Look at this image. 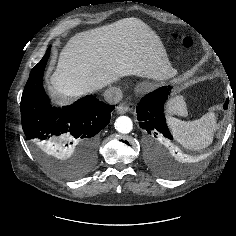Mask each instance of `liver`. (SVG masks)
I'll return each mask as SVG.
<instances>
[{
  "label": "liver",
  "instance_id": "obj_1",
  "mask_svg": "<svg viewBox=\"0 0 236 236\" xmlns=\"http://www.w3.org/2000/svg\"><path fill=\"white\" fill-rule=\"evenodd\" d=\"M160 37L137 18H125L71 37L50 78L53 89L76 98L129 75L164 80L175 75ZM182 98L169 102L168 112L182 113Z\"/></svg>",
  "mask_w": 236,
  "mask_h": 236
}]
</instances>
